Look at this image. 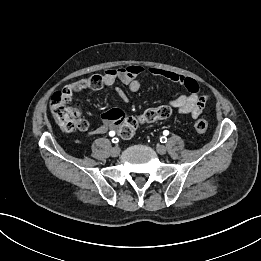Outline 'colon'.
<instances>
[{
  "label": "colon",
  "instance_id": "1",
  "mask_svg": "<svg viewBox=\"0 0 261 261\" xmlns=\"http://www.w3.org/2000/svg\"><path fill=\"white\" fill-rule=\"evenodd\" d=\"M86 81L77 80L55 92L50 100L51 113L58 125L67 132L84 131L88 128V122L80 115L79 109L71 104V96L84 89ZM171 114L169 106L161 105L149 108L139 116H125L123 112L111 110L107 117L119 126V133L123 138H131L135 135L141 124L152 123L168 118ZM194 128L199 133H204L208 128V122L199 118L194 123Z\"/></svg>",
  "mask_w": 261,
  "mask_h": 261
}]
</instances>
